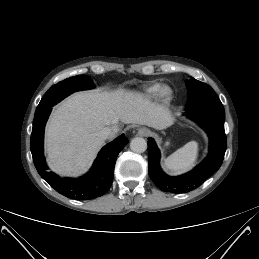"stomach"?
<instances>
[{"label":"stomach","instance_id":"stomach-1","mask_svg":"<svg viewBox=\"0 0 259 259\" xmlns=\"http://www.w3.org/2000/svg\"><path fill=\"white\" fill-rule=\"evenodd\" d=\"M166 146H168L169 145V142H166V144H165Z\"/></svg>","mask_w":259,"mask_h":259}]
</instances>
